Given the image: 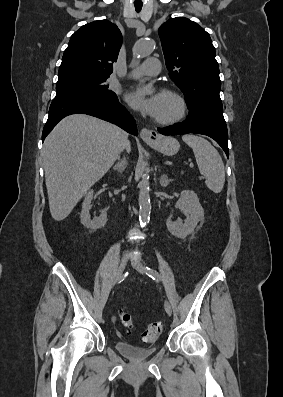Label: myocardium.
Segmentation results:
<instances>
[{
  "label": "myocardium",
  "instance_id": "myocardium-1",
  "mask_svg": "<svg viewBox=\"0 0 283 397\" xmlns=\"http://www.w3.org/2000/svg\"><path fill=\"white\" fill-rule=\"evenodd\" d=\"M160 95H167L173 97L178 103V112L169 118L155 119V122L160 125H172L181 121L187 114L188 105L186 99L181 93L174 89L164 88L160 91Z\"/></svg>",
  "mask_w": 283,
  "mask_h": 397
}]
</instances>
